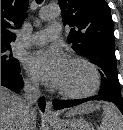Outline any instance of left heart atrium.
Listing matches in <instances>:
<instances>
[{
	"label": "left heart atrium",
	"instance_id": "39dd6f15",
	"mask_svg": "<svg viewBox=\"0 0 123 130\" xmlns=\"http://www.w3.org/2000/svg\"><path fill=\"white\" fill-rule=\"evenodd\" d=\"M25 63L35 79L57 86L68 62L60 49L49 47L31 53Z\"/></svg>",
	"mask_w": 123,
	"mask_h": 130
}]
</instances>
